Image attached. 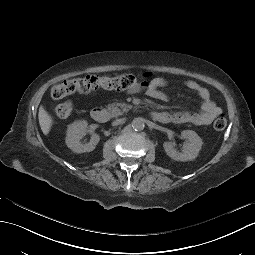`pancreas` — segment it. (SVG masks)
Listing matches in <instances>:
<instances>
[{"instance_id":"pancreas-1","label":"pancreas","mask_w":255,"mask_h":255,"mask_svg":"<svg viewBox=\"0 0 255 255\" xmlns=\"http://www.w3.org/2000/svg\"><path fill=\"white\" fill-rule=\"evenodd\" d=\"M131 108V105H127L125 103H112L107 106V111L113 117H117L119 115H122L124 112H127Z\"/></svg>"}]
</instances>
